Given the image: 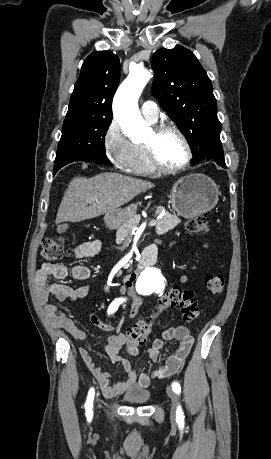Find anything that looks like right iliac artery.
<instances>
[{
    "instance_id": "obj_1",
    "label": "right iliac artery",
    "mask_w": 271,
    "mask_h": 459,
    "mask_svg": "<svg viewBox=\"0 0 271 459\" xmlns=\"http://www.w3.org/2000/svg\"><path fill=\"white\" fill-rule=\"evenodd\" d=\"M124 302V299L123 298H116L109 306L108 308V314H111V313H114L119 305L121 303ZM94 389L91 388L89 390V393H88V396H87V401L85 403V409H86V417L88 419V421H91L92 417H93V411H92V408H93V399H94Z\"/></svg>"
}]
</instances>
